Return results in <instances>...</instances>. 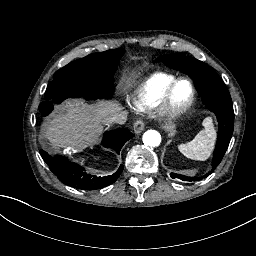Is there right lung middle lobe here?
Segmentation results:
<instances>
[{"label":"right lung middle lobe","instance_id":"1","mask_svg":"<svg viewBox=\"0 0 256 256\" xmlns=\"http://www.w3.org/2000/svg\"><path fill=\"white\" fill-rule=\"evenodd\" d=\"M123 54V48L93 53L59 69L47 87L46 101L39 105L40 112L46 115L53 103L68 97L110 98L114 91L111 80Z\"/></svg>","mask_w":256,"mask_h":256}]
</instances>
